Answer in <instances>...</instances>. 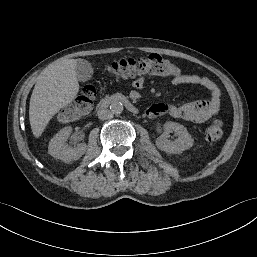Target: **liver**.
I'll return each instance as SVG.
<instances>
[{"instance_id": "6515ba94", "label": "liver", "mask_w": 257, "mask_h": 257, "mask_svg": "<svg viewBox=\"0 0 257 257\" xmlns=\"http://www.w3.org/2000/svg\"><path fill=\"white\" fill-rule=\"evenodd\" d=\"M76 64L77 59L57 60L37 77L29 106L30 125L36 138L42 135L50 119L77 96Z\"/></svg>"}]
</instances>
